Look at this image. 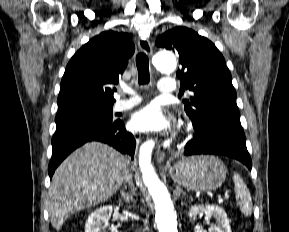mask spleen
<instances>
[{"label": "spleen", "mask_w": 289, "mask_h": 232, "mask_svg": "<svg viewBox=\"0 0 289 232\" xmlns=\"http://www.w3.org/2000/svg\"><path fill=\"white\" fill-rule=\"evenodd\" d=\"M233 181L235 185L237 204L244 215L250 216L252 213V199L250 191L238 173L234 174Z\"/></svg>", "instance_id": "1"}]
</instances>
